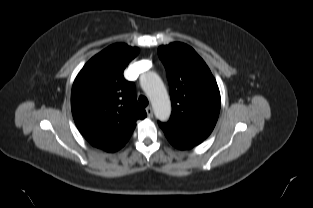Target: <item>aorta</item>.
<instances>
[{"label":"aorta","instance_id":"obj_1","mask_svg":"<svg viewBox=\"0 0 313 208\" xmlns=\"http://www.w3.org/2000/svg\"><path fill=\"white\" fill-rule=\"evenodd\" d=\"M140 85L150 98L155 117L166 121L171 115V101L161 78L155 72H146L140 77Z\"/></svg>","mask_w":313,"mask_h":208}]
</instances>
